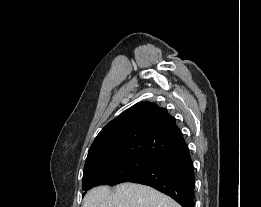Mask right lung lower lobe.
I'll list each match as a JSON object with an SVG mask.
<instances>
[{
    "label": "right lung lower lobe",
    "mask_w": 261,
    "mask_h": 207,
    "mask_svg": "<svg viewBox=\"0 0 261 207\" xmlns=\"http://www.w3.org/2000/svg\"><path fill=\"white\" fill-rule=\"evenodd\" d=\"M123 182L151 186L172 197L182 207H194L195 177L188 147L161 158Z\"/></svg>",
    "instance_id": "1"
}]
</instances>
